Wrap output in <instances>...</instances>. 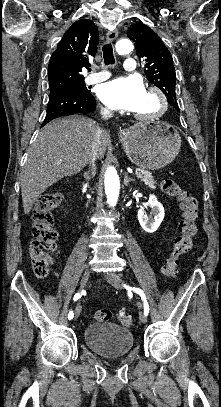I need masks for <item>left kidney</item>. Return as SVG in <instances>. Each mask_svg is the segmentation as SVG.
I'll return each instance as SVG.
<instances>
[{
  "label": "left kidney",
  "mask_w": 221,
  "mask_h": 407,
  "mask_svg": "<svg viewBox=\"0 0 221 407\" xmlns=\"http://www.w3.org/2000/svg\"><path fill=\"white\" fill-rule=\"evenodd\" d=\"M151 209V215L147 216L145 208ZM145 208L138 210V220L141 227L148 233L155 232L164 219L165 211L162 204L157 200L155 195H150L149 200L145 205Z\"/></svg>",
  "instance_id": "1"
}]
</instances>
